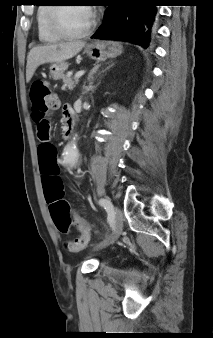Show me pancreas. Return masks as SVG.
I'll use <instances>...</instances> for the list:
<instances>
[{"mask_svg": "<svg viewBox=\"0 0 213 338\" xmlns=\"http://www.w3.org/2000/svg\"><path fill=\"white\" fill-rule=\"evenodd\" d=\"M63 79V86H62V89L63 90H73V88L75 87V85L78 83V79H73L71 76L69 75H64L62 77Z\"/></svg>", "mask_w": 213, "mask_h": 338, "instance_id": "1", "label": "pancreas"}]
</instances>
